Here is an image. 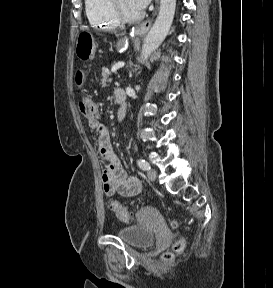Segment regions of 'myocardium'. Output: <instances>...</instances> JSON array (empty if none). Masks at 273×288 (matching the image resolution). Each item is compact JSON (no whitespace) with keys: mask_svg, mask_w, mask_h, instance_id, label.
Masks as SVG:
<instances>
[{"mask_svg":"<svg viewBox=\"0 0 273 288\" xmlns=\"http://www.w3.org/2000/svg\"><path fill=\"white\" fill-rule=\"evenodd\" d=\"M109 6L113 18L119 23L134 24L141 21L143 18V13H140L134 17L125 15L119 7V0H109Z\"/></svg>","mask_w":273,"mask_h":288,"instance_id":"1","label":"myocardium"}]
</instances>
